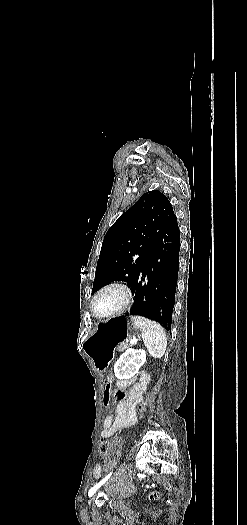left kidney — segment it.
Masks as SVG:
<instances>
[{"mask_svg": "<svg viewBox=\"0 0 247 525\" xmlns=\"http://www.w3.org/2000/svg\"><path fill=\"white\" fill-rule=\"evenodd\" d=\"M145 361L146 351H143V349H127L115 363V375L122 377V375L129 373V377H134Z\"/></svg>", "mask_w": 247, "mask_h": 525, "instance_id": "1", "label": "left kidney"}]
</instances>
